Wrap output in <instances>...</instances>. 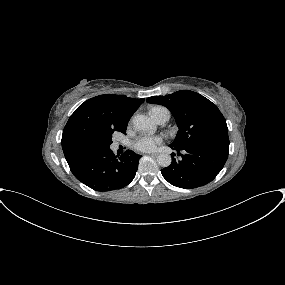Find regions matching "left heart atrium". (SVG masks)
Wrapping results in <instances>:
<instances>
[{"label":"left heart atrium","mask_w":285,"mask_h":285,"mask_svg":"<svg viewBox=\"0 0 285 285\" xmlns=\"http://www.w3.org/2000/svg\"><path fill=\"white\" fill-rule=\"evenodd\" d=\"M161 138L148 134L140 135L133 143V147L139 151H152L161 143Z\"/></svg>","instance_id":"39dd6f15"}]
</instances>
